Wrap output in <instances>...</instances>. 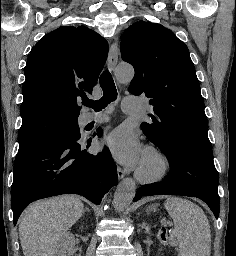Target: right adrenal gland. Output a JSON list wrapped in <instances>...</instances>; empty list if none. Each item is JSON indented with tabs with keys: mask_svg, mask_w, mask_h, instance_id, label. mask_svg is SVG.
<instances>
[{
	"mask_svg": "<svg viewBox=\"0 0 236 256\" xmlns=\"http://www.w3.org/2000/svg\"><path fill=\"white\" fill-rule=\"evenodd\" d=\"M87 212H89L88 208H86Z\"/></svg>",
	"mask_w": 236,
	"mask_h": 256,
	"instance_id": "obj_1",
	"label": "right adrenal gland"
}]
</instances>
